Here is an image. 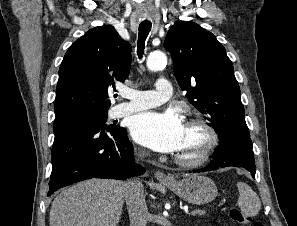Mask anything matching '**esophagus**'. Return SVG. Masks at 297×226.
<instances>
[{
    "mask_svg": "<svg viewBox=\"0 0 297 226\" xmlns=\"http://www.w3.org/2000/svg\"><path fill=\"white\" fill-rule=\"evenodd\" d=\"M154 176L159 182H170L173 180L171 177L167 176L165 173L161 171H156Z\"/></svg>",
    "mask_w": 297,
    "mask_h": 226,
    "instance_id": "obj_1",
    "label": "esophagus"
}]
</instances>
